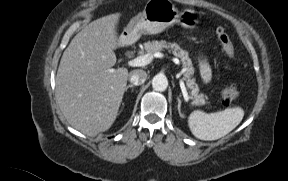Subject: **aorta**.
Wrapping results in <instances>:
<instances>
[{"instance_id":"762f6f07","label":"aorta","mask_w":288,"mask_h":181,"mask_svg":"<svg viewBox=\"0 0 288 181\" xmlns=\"http://www.w3.org/2000/svg\"><path fill=\"white\" fill-rule=\"evenodd\" d=\"M168 86V80L165 75L157 74L152 79V87L155 91H165Z\"/></svg>"}]
</instances>
